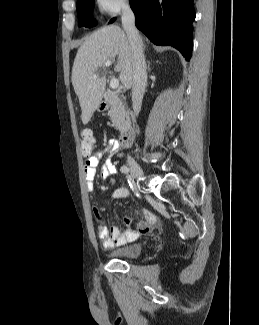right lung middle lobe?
I'll return each instance as SVG.
<instances>
[{
  "instance_id": "1",
  "label": "right lung middle lobe",
  "mask_w": 259,
  "mask_h": 325,
  "mask_svg": "<svg viewBox=\"0 0 259 325\" xmlns=\"http://www.w3.org/2000/svg\"><path fill=\"white\" fill-rule=\"evenodd\" d=\"M94 0H77V14H78V23L79 26L93 27L97 25V22L93 20ZM115 18L112 19L109 23L114 22Z\"/></svg>"
}]
</instances>
